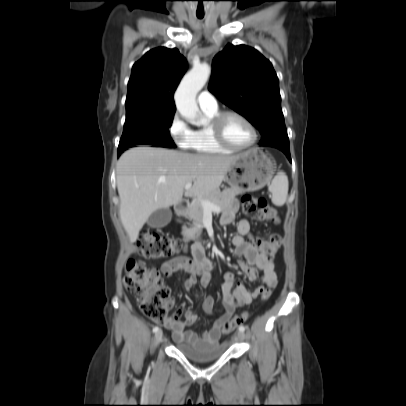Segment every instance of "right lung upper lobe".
I'll use <instances>...</instances> for the list:
<instances>
[{
	"instance_id": "obj_1",
	"label": "right lung upper lobe",
	"mask_w": 406,
	"mask_h": 406,
	"mask_svg": "<svg viewBox=\"0 0 406 406\" xmlns=\"http://www.w3.org/2000/svg\"><path fill=\"white\" fill-rule=\"evenodd\" d=\"M186 69V59L177 49L158 47L147 52L133 65L126 111L175 112L173 94Z\"/></svg>"
}]
</instances>
